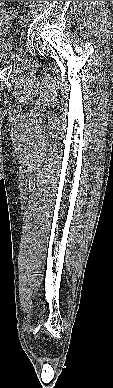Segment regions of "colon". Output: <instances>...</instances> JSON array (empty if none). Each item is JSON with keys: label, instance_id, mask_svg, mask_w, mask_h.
I'll return each mask as SVG.
<instances>
[{"label": "colon", "instance_id": "colon-1", "mask_svg": "<svg viewBox=\"0 0 113 388\" xmlns=\"http://www.w3.org/2000/svg\"><path fill=\"white\" fill-rule=\"evenodd\" d=\"M14 16H15V13H11V14H10V17H14Z\"/></svg>", "mask_w": 113, "mask_h": 388}]
</instances>
